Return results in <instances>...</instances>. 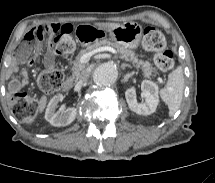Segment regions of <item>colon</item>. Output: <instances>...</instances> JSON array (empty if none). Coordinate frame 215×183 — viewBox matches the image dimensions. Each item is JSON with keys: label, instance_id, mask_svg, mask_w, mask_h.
<instances>
[{"label": "colon", "instance_id": "1", "mask_svg": "<svg viewBox=\"0 0 215 183\" xmlns=\"http://www.w3.org/2000/svg\"><path fill=\"white\" fill-rule=\"evenodd\" d=\"M71 28L62 29L57 33L53 41V50L59 55L68 54L74 47V41L71 35ZM33 44L26 47L24 54L32 49ZM143 47L148 52L154 53L156 66L162 71H169L174 66L173 53L166 49V40L164 35L155 27H146L143 33ZM64 75L56 67L48 69L40 74L38 84L40 88L47 93L55 92L63 84ZM10 108L16 118L25 124H31L35 121L38 113V103L35 97L25 92H19L12 96Z\"/></svg>", "mask_w": 215, "mask_h": 183}]
</instances>
